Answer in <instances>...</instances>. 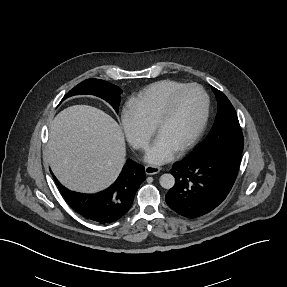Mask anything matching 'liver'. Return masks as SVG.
Segmentation results:
<instances>
[{"mask_svg": "<svg viewBox=\"0 0 287 287\" xmlns=\"http://www.w3.org/2000/svg\"><path fill=\"white\" fill-rule=\"evenodd\" d=\"M125 153L120 126L98 108L74 105L51 123L46 156L55 176L71 190L93 193L111 185Z\"/></svg>", "mask_w": 287, "mask_h": 287, "instance_id": "6515ba94", "label": "liver"}]
</instances>
